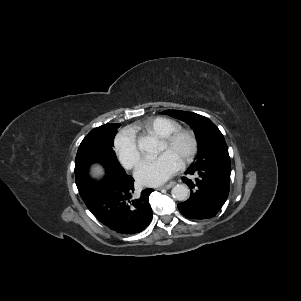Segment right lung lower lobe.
Segmentation results:
<instances>
[{"mask_svg":"<svg viewBox=\"0 0 301 301\" xmlns=\"http://www.w3.org/2000/svg\"><path fill=\"white\" fill-rule=\"evenodd\" d=\"M134 179L125 172H106L100 180H88L79 193L91 213L109 229L121 234H136L152 220L148 202L153 189L134 197Z\"/></svg>","mask_w":301,"mask_h":301,"instance_id":"98d812e1","label":"right lung lower lobe"}]
</instances>
